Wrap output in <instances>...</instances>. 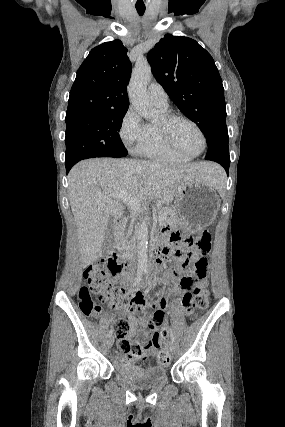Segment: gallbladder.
<instances>
[{"instance_id":"obj_1","label":"gallbladder","mask_w":285,"mask_h":427,"mask_svg":"<svg viewBox=\"0 0 285 427\" xmlns=\"http://www.w3.org/2000/svg\"><path fill=\"white\" fill-rule=\"evenodd\" d=\"M114 245H115V229H114L113 217L111 216L105 232L102 251L104 253H109L114 248Z\"/></svg>"}]
</instances>
